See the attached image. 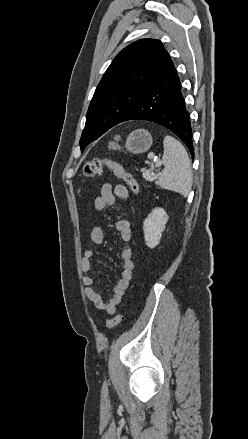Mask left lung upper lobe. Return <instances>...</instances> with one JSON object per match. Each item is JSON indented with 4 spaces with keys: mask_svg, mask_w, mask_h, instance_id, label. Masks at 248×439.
I'll list each match as a JSON object with an SVG mask.
<instances>
[{
    "mask_svg": "<svg viewBox=\"0 0 248 439\" xmlns=\"http://www.w3.org/2000/svg\"><path fill=\"white\" fill-rule=\"evenodd\" d=\"M170 60L161 41L156 39L138 40L117 54L90 102L80 139L82 151L86 144L120 123Z\"/></svg>",
    "mask_w": 248,
    "mask_h": 439,
    "instance_id": "5c2ea615",
    "label": "left lung upper lobe"
}]
</instances>
